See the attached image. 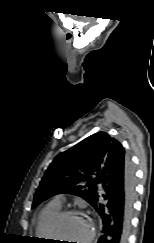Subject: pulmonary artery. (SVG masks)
<instances>
[{
    "mask_svg": "<svg viewBox=\"0 0 154 243\" xmlns=\"http://www.w3.org/2000/svg\"><path fill=\"white\" fill-rule=\"evenodd\" d=\"M62 200H63V197L61 195L57 196L56 199H55V202L57 203H62Z\"/></svg>",
    "mask_w": 154,
    "mask_h": 243,
    "instance_id": "pulmonary-artery-1",
    "label": "pulmonary artery"
}]
</instances>
